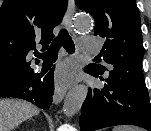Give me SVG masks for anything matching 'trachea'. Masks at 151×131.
<instances>
[{"label": "trachea", "instance_id": "3493384b", "mask_svg": "<svg viewBox=\"0 0 151 131\" xmlns=\"http://www.w3.org/2000/svg\"><path fill=\"white\" fill-rule=\"evenodd\" d=\"M61 46H63L69 54L75 52L74 42L66 29L60 30L58 36L53 40L46 52H37L34 55L42 59L44 62H53L57 59L58 50Z\"/></svg>", "mask_w": 151, "mask_h": 131}]
</instances>
